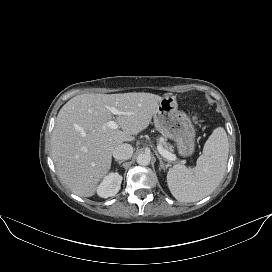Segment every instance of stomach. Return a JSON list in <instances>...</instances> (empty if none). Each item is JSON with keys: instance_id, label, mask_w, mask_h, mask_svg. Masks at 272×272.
Returning <instances> with one entry per match:
<instances>
[{"instance_id": "obj_1", "label": "stomach", "mask_w": 272, "mask_h": 272, "mask_svg": "<svg viewBox=\"0 0 272 272\" xmlns=\"http://www.w3.org/2000/svg\"><path fill=\"white\" fill-rule=\"evenodd\" d=\"M155 127L175 141L181 156H191L195 150V129L191 119L178 110L175 96L167 95L158 104L153 115Z\"/></svg>"}]
</instances>
